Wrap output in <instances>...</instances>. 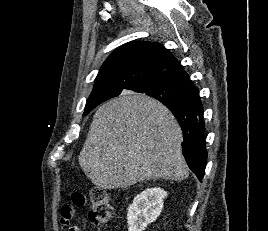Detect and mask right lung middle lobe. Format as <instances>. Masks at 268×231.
<instances>
[{
  "mask_svg": "<svg viewBox=\"0 0 268 231\" xmlns=\"http://www.w3.org/2000/svg\"><path fill=\"white\" fill-rule=\"evenodd\" d=\"M129 90L144 93L159 100L160 102L168 101L181 104L190 102L195 96H193L191 92L176 88L167 83L151 80L139 82L133 87H131ZM121 91L122 88H108L107 90H104L102 92V96L108 97L111 95H119ZM99 104L100 103L96 104L95 102L91 104L86 103L84 116L87 115L93 108H95Z\"/></svg>",
  "mask_w": 268,
  "mask_h": 231,
  "instance_id": "dd1d6c3e",
  "label": "right lung middle lobe"
}]
</instances>
